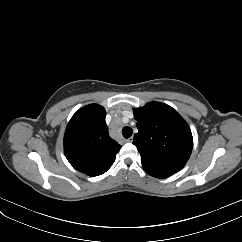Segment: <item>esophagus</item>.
<instances>
[{"label": "esophagus", "instance_id": "1", "mask_svg": "<svg viewBox=\"0 0 242 242\" xmlns=\"http://www.w3.org/2000/svg\"><path fill=\"white\" fill-rule=\"evenodd\" d=\"M133 141V137H130V138H128V139H126V142H132Z\"/></svg>", "mask_w": 242, "mask_h": 242}]
</instances>
